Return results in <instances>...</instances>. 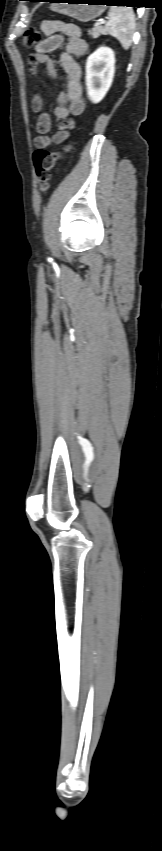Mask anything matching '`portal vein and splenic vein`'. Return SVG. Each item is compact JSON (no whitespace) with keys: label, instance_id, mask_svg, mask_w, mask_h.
Returning <instances> with one entry per match:
<instances>
[{"label":"portal vein and splenic vein","instance_id":"portal-vein-and-splenic-vein-1","mask_svg":"<svg viewBox=\"0 0 162 851\" xmlns=\"http://www.w3.org/2000/svg\"><path fill=\"white\" fill-rule=\"evenodd\" d=\"M105 23H106V21H105V20H101L100 22H96V23H95V26L97 27V26H99V25H101V24H105Z\"/></svg>","mask_w":162,"mask_h":851}]
</instances>
